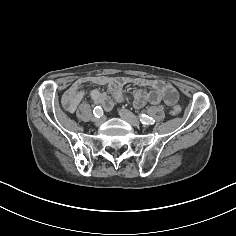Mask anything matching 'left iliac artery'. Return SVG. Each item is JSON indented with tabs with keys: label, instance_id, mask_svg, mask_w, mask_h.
<instances>
[{
	"label": "left iliac artery",
	"instance_id": "44dca946",
	"mask_svg": "<svg viewBox=\"0 0 236 236\" xmlns=\"http://www.w3.org/2000/svg\"><path fill=\"white\" fill-rule=\"evenodd\" d=\"M139 118H140L141 123L145 125H152L155 123V120L146 114H140Z\"/></svg>",
	"mask_w": 236,
	"mask_h": 236
}]
</instances>
